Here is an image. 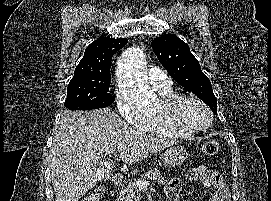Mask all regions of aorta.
<instances>
[{
    "label": "aorta",
    "instance_id": "1",
    "mask_svg": "<svg viewBox=\"0 0 271 201\" xmlns=\"http://www.w3.org/2000/svg\"><path fill=\"white\" fill-rule=\"evenodd\" d=\"M116 74L122 91L133 103L145 108L156 105L157 96L148 86L145 55L140 48L130 47L121 54Z\"/></svg>",
    "mask_w": 271,
    "mask_h": 201
}]
</instances>
